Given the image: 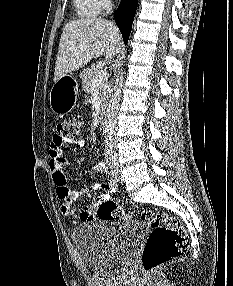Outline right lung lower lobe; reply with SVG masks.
I'll return each instance as SVG.
<instances>
[{"label": "right lung lower lobe", "instance_id": "right-lung-lower-lobe-1", "mask_svg": "<svg viewBox=\"0 0 233 286\" xmlns=\"http://www.w3.org/2000/svg\"><path fill=\"white\" fill-rule=\"evenodd\" d=\"M137 4L138 0H121L118 9L115 11V21L122 33L125 44L128 42Z\"/></svg>", "mask_w": 233, "mask_h": 286}]
</instances>
